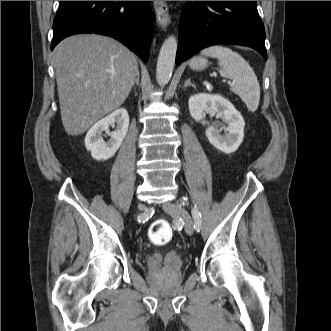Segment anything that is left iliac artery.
Instances as JSON below:
<instances>
[{"label": "left iliac artery", "instance_id": "obj_1", "mask_svg": "<svg viewBox=\"0 0 331 331\" xmlns=\"http://www.w3.org/2000/svg\"><path fill=\"white\" fill-rule=\"evenodd\" d=\"M192 216H193V220H194V229L199 232L201 229V213L199 212V210L196 207L192 208Z\"/></svg>", "mask_w": 331, "mask_h": 331}]
</instances>
